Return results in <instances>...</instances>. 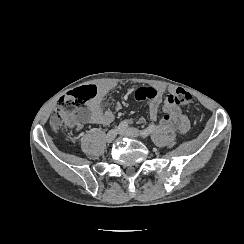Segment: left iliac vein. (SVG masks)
I'll use <instances>...</instances> for the list:
<instances>
[{
	"mask_svg": "<svg viewBox=\"0 0 244 244\" xmlns=\"http://www.w3.org/2000/svg\"><path fill=\"white\" fill-rule=\"evenodd\" d=\"M120 135L125 136V137H130V138H137L141 134H140L139 130H137L136 128H126V129L120 131Z\"/></svg>",
	"mask_w": 244,
	"mask_h": 244,
	"instance_id": "obj_1",
	"label": "left iliac vein"
}]
</instances>
